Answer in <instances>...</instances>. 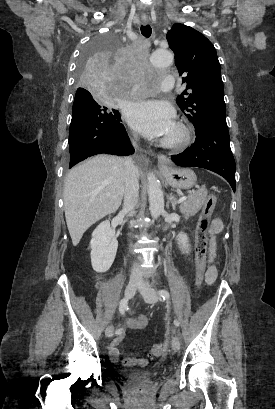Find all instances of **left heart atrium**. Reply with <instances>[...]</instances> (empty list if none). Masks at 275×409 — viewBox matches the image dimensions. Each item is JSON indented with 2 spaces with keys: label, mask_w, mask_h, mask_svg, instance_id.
<instances>
[{
  "label": "left heart atrium",
  "mask_w": 275,
  "mask_h": 409,
  "mask_svg": "<svg viewBox=\"0 0 275 409\" xmlns=\"http://www.w3.org/2000/svg\"><path fill=\"white\" fill-rule=\"evenodd\" d=\"M128 122L149 138L166 136L174 127L173 108L157 100H141L125 106Z\"/></svg>",
  "instance_id": "left-heart-atrium-1"
}]
</instances>
